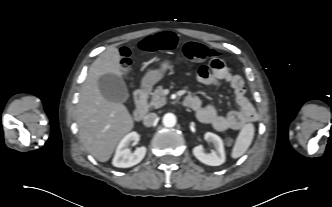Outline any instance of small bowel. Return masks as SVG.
Here are the masks:
<instances>
[{
  "label": "small bowel",
  "mask_w": 332,
  "mask_h": 207,
  "mask_svg": "<svg viewBox=\"0 0 332 207\" xmlns=\"http://www.w3.org/2000/svg\"><path fill=\"white\" fill-rule=\"evenodd\" d=\"M197 79L205 85H219L228 83L235 92V100L239 106L238 110L227 113H219L215 108L204 105L202 100L195 95L192 99L191 108L197 119L211 125L215 130L223 132L237 130L248 122L257 119V113L246 95V88L243 79L234 74L222 60H215L209 66L201 65L197 69Z\"/></svg>",
  "instance_id": "obj_1"
}]
</instances>
